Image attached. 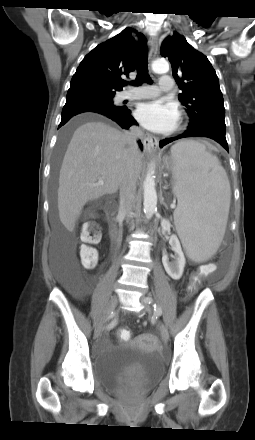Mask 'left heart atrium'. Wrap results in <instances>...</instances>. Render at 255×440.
<instances>
[{
  "label": "left heart atrium",
  "mask_w": 255,
  "mask_h": 440,
  "mask_svg": "<svg viewBox=\"0 0 255 440\" xmlns=\"http://www.w3.org/2000/svg\"><path fill=\"white\" fill-rule=\"evenodd\" d=\"M136 118L145 128L164 133L175 127L178 120V111L173 104L152 101L143 103L137 108Z\"/></svg>",
  "instance_id": "obj_1"
}]
</instances>
